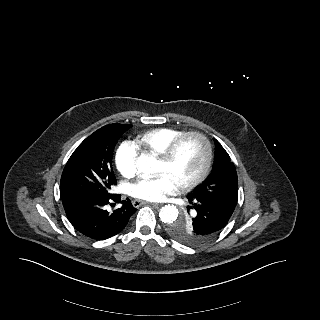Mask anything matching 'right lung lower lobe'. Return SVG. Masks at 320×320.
Returning <instances> with one entry per match:
<instances>
[{
	"label": "right lung lower lobe",
	"instance_id": "98d812e1",
	"mask_svg": "<svg viewBox=\"0 0 320 320\" xmlns=\"http://www.w3.org/2000/svg\"><path fill=\"white\" fill-rule=\"evenodd\" d=\"M66 215L84 236L93 240H105L120 233L130 217L137 211L129 199L122 201V207L108 212L105 206L112 201L120 202V195L109 196H63L61 197Z\"/></svg>",
	"mask_w": 320,
	"mask_h": 320
}]
</instances>
